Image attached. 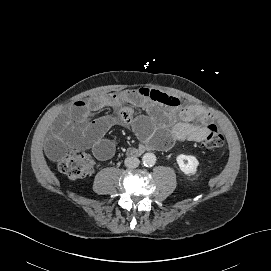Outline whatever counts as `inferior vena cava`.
Instances as JSON below:
<instances>
[{"mask_svg":"<svg viewBox=\"0 0 271 271\" xmlns=\"http://www.w3.org/2000/svg\"><path fill=\"white\" fill-rule=\"evenodd\" d=\"M139 159L137 157H127L125 159V166L128 168H136L139 166Z\"/></svg>","mask_w":271,"mask_h":271,"instance_id":"inferior-vena-cava-1","label":"inferior vena cava"}]
</instances>
